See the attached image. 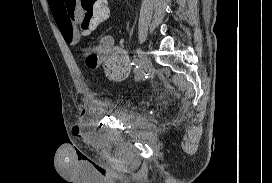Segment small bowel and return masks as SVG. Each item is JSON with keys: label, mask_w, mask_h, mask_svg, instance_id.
Here are the masks:
<instances>
[{"label": "small bowel", "mask_w": 272, "mask_h": 183, "mask_svg": "<svg viewBox=\"0 0 272 183\" xmlns=\"http://www.w3.org/2000/svg\"><path fill=\"white\" fill-rule=\"evenodd\" d=\"M67 0H48L50 10L54 16L55 22L60 30L64 41L70 45H76L82 34L74 24L67 21L66 4ZM78 13H76V19ZM98 52L101 62L105 64L108 74L115 80H123L130 73V63L127 53L123 48L114 46V38L111 35H104L98 44ZM88 109H84L78 116L77 121L83 120Z\"/></svg>", "instance_id": "c3829d8e"}]
</instances>
